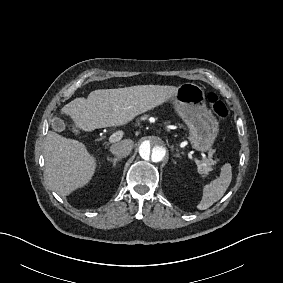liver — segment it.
<instances>
[{
    "instance_id": "liver-1",
    "label": "liver",
    "mask_w": 283,
    "mask_h": 283,
    "mask_svg": "<svg viewBox=\"0 0 283 283\" xmlns=\"http://www.w3.org/2000/svg\"><path fill=\"white\" fill-rule=\"evenodd\" d=\"M176 86L138 85L96 90L86 99L76 98L59 111L84 132L123 127L136 117L158 108L178 93ZM45 173L52 189L67 197L86 187L98 170V159L85 144L48 131L44 145Z\"/></svg>"
}]
</instances>
